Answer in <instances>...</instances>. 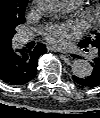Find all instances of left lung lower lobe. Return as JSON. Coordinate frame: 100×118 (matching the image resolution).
<instances>
[{
	"label": "left lung lower lobe",
	"mask_w": 100,
	"mask_h": 118,
	"mask_svg": "<svg viewBox=\"0 0 100 118\" xmlns=\"http://www.w3.org/2000/svg\"><path fill=\"white\" fill-rule=\"evenodd\" d=\"M80 47L86 48L84 46H80ZM95 49L97 51V54H96V57L91 62V65L93 67L91 75L84 78H79L76 76L72 77L76 83L85 87H90V88L100 86V46ZM77 57L80 58V56H77Z\"/></svg>",
	"instance_id": "0a47b994"
}]
</instances>
